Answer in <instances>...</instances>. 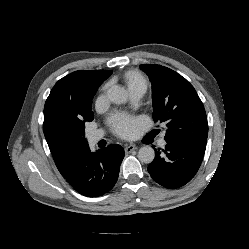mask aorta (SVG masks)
Instances as JSON below:
<instances>
[{"label": "aorta", "mask_w": 249, "mask_h": 249, "mask_svg": "<svg viewBox=\"0 0 249 249\" xmlns=\"http://www.w3.org/2000/svg\"><path fill=\"white\" fill-rule=\"evenodd\" d=\"M108 99L115 104H123L128 100V94L123 87L112 86L107 90ZM155 151L151 146H143L138 151V159L143 163H151L154 160Z\"/></svg>", "instance_id": "aorta-1"}]
</instances>
